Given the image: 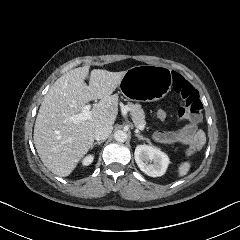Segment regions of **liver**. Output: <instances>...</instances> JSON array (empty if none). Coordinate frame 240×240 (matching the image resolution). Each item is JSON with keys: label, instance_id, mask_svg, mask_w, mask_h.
Listing matches in <instances>:
<instances>
[{"label": "liver", "instance_id": "6515ba94", "mask_svg": "<svg viewBox=\"0 0 240 240\" xmlns=\"http://www.w3.org/2000/svg\"><path fill=\"white\" fill-rule=\"evenodd\" d=\"M89 66L75 68L51 86L44 97L34 126V144L44 165L58 176H67L94 140V132L112 124L118 111V97L111 95L125 75L123 72L92 70L89 84L84 81ZM92 119L74 124L69 117L78 114L88 101Z\"/></svg>", "mask_w": 240, "mask_h": 240}]
</instances>
